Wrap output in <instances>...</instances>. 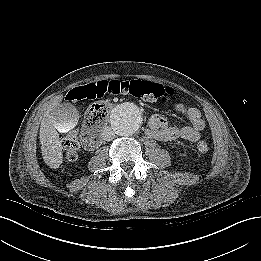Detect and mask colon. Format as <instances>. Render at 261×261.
<instances>
[{
  "mask_svg": "<svg viewBox=\"0 0 261 261\" xmlns=\"http://www.w3.org/2000/svg\"><path fill=\"white\" fill-rule=\"evenodd\" d=\"M173 94V90L161 84L141 80H102L72 89L67 96L69 101L82 99L101 100L106 96L129 95L146 101H167ZM109 103L98 101L89 106L85 115V125L88 129H96L102 125L109 114ZM91 147L94 140L85 138L81 142L77 131L70 132L63 140L62 147L66 159L75 162L78 159V152L82 146ZM197 148L200 152H207L210 148L209 141L202 139L198 142Z\"/></svg>",
  "mask_w": 261,
  "mask_h": 261,
  "instance_id": "5ec220e1",
  "label": "colon"
}]
</instances>
